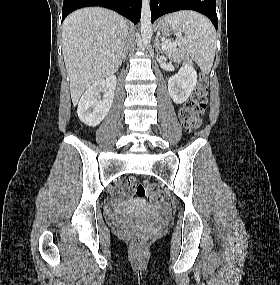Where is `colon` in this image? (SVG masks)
Returning a JSON list of instances; mask_svg holds the SVG:
<instances>
[{
    "label": "colon",
    "mask_w": 280,
    "mask_h": 285,
    "mask_svg": "<svg viewBox=\"0 0 280 285\" xmlns=\"http://www.w3.org/2000/svg\"><path fill=\"white\" fill-rule=\"evenodd\" d=\"M208 78L201 74L198 78L197 86L180 111V119L184 128L188 131H193L201 125V116L204 113L208 103ZM126 185L133 190L137 196H147L153 205H161L165 200V195L153 184H145L139 182L135 178H128ZM142 236L136 235L132 237V243L139 246L143 243Z\"/></svg>",
    "instance_id": "colon-1"
}]
</instances>
